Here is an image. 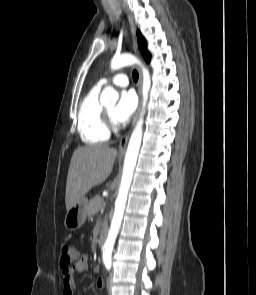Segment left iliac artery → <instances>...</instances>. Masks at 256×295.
<instances>
[{"label": "left iliac artery", "mask_w": 256, "mask_h": 295, "mask_svg": "<svg viewBox=\"0 0 256 295\" xmlns=\"http://www.w3.org/2000/svg\"><path fill=\"white\" fill-rule=\"evenodd\" d=\"M105 266H106V269L109 271L111 268V262H106Z\"/></svg>", "instance_id": "1"}]
</instances>
